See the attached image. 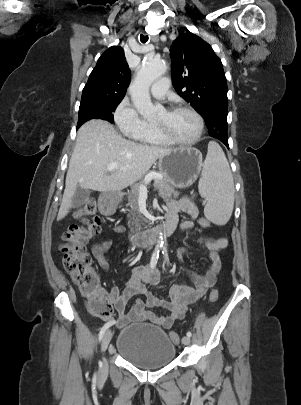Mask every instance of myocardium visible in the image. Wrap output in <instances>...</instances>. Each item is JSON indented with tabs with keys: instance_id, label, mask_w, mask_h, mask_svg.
Segmentation results:
<instances>
[{
	"instance_id": "obj_1",
	"label": "myocardium",
	"mask_w": 301,
	"mask_h": 405,
	"mask_svg": "<svg viewBox=\"0 0 301 405\" xmlns=\"http://www.w3.org/2000/svg\"><path fill=\"white\" fill-rule=\"evenodd\" d=\"M168 111H188L190 112L197 120L198 123V130L196 135L190 139V140H181L178 139L174 136H172L163 126L159 124H153V127L155 131L158 133V135L163 138L165 141L171 144H176V145H184V146H190L194 145L197 143L200 138L202 137L203 131H204V120L200 113L195 110L193 107L188 106V105H177L174 106L173 108L169 109Z\"/></svg>"
}]
</instances>
